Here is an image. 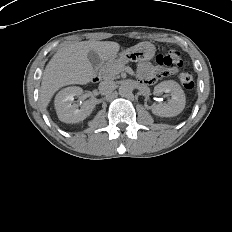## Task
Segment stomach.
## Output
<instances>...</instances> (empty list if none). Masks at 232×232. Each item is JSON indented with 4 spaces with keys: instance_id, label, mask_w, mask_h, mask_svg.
<instances>
[{
    "instance_id": "1",
    "label": "stomach",
    "mask_w": 232,
    "mask_h": 232,
    "mask_svg": "<svg viewBox=\"0 0 232 232\" xmlns=\"http://www.w3.org/2000/svg\"><path fill=\"white\" fill-rule=\"evenodd\" d=\"M155 46L149 42L140 44L135 48H129L121 53V59L130 61H147L151 60L155 54Z\"/></svg>"
}]
</instances>
